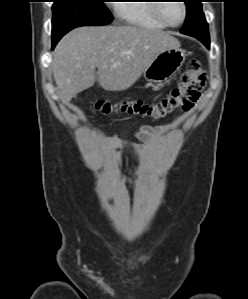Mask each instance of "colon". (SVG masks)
<instances>
[{"instance_id": "5ec220e1", "label": "colon", "mask_w": 248, "mask_h": 299, "mask_svg": "<svg viewBox=\"0 0 248 299\" xmlns=\"http://www.w3.org/2000/svg\"><path fill=\"white\" fill-rule=\"evenodd\" d=\"M207 74L198 60H192L182 74L179 84L170 93L156 103H144L138 100L109 103L98 99L95 108L103 113L122 112L140 115L154 120L188 112L199 99L205 87Z\"/></svg>"}]
</instances>
